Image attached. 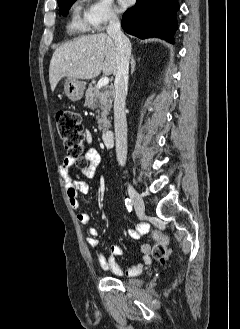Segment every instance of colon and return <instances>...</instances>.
Masks as SVG:
<instances>
[{"instance_id":"1","label":"colon","mask_w":240,"mask_h":329,"mask_svg":"<svg viewBox=\"0 0 240 329\" xmlns=\"http://www.w3.org/2000/svg\"><path fill=\"white\" fill-rule=\"evenodd\" d=\"M56 122L65 150L70 157L82 163L85 160V137L80 115L68 109H59L56 113ZM152 236L156 240L153 248L154 258L161 262L166 261L169 257L168 237L160 230H154Z\"/></svg>"}]
</instances>
